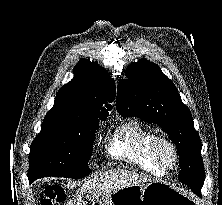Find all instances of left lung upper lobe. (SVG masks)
Segmentation results:
<instances>
[{"instance_id":"5c2ea615","label":"left lung upper lobe","mask_w":222,"mask_h":205,"mask_svg":"<svg viewBox=\"0 0 222 205\" xmlns=\"http://www.w3.org/2000/svg\"><path fill=\"white\" fill-rule=\"evenodd\" d=\"M128 80H121L117 88L116 108L123 117L136 116L160 126L176 145L179 161L192 159V172L182 170L179 181L193 182L202 188L204 167L201 140L194 128L192 115L183 104L174 83L164 75L159 66L141 59L126 70Z\"/></svg>"}]
</instances>
